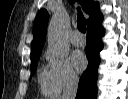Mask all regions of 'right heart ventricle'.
Here are the masks:
<instances>
[{"instance_id":"obj_1","label":"right heart ventricle","mask_w":128,"mask_h":99,"mask_svg":"<svg viewBox=\"0 0 128 99\" xmlns=\"http://www.w3.org/2000/svg\"><path fill=\"white\" fill-rule=\"evenodd\" d=\"M39 82H40V89L43 95L55 96L58 94L49 71L45 69L41 71Z\"/></svg>"}]
</instances>
